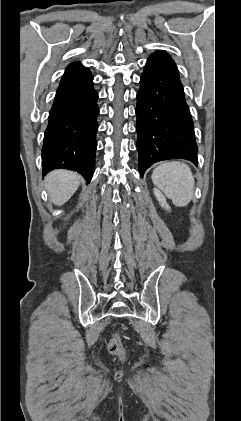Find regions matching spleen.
<instances>
[{"instance_id":"obj_1","label":"spleen","mask_w":241,"mask_h":421,"mask_svg":"<svg viewBox=\"0 0 241 421\" xmlns=\"http://www.w3.org/2000/svg\"><path fill=\"white\" fill-rule=\"evenodd\" d=\"M152 181L178 207L187 206L194 197V176L185 163L160 164L153 170Z\"/></svg>"}]
</instances>
